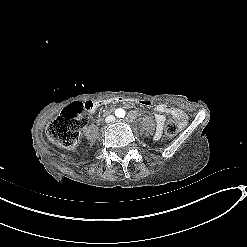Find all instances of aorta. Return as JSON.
<instances>
[{"instance_id":"1","label":"aorta","mask_w":247,"mask_h":247,"mask_svg":"<svg viewBox=\"0 0 247 247\" xmlns=\"http://www.w3.org/2000/svg\"><path fill=\"white\" fill-rule=\"evenodd\" d=\"M115 114H116L117 117H123L125 115V112H124L123 109H117L115 111Z\"/></svg>"}]
</instances>
